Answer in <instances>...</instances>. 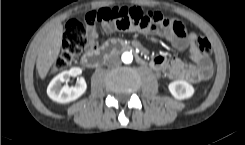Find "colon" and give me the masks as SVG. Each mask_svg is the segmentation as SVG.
<instances>
[{
	"mask_svg": "<svg viewBox=\"0 0 245 145\" xmlns=\"http://www.w3.org/2000/svg\"><path fill=\"white\" fill-rule=\"evenodd\" d=\"M94 17L98 21H114L120 30H139L151 31L160 24H168L169 20L165 19L160 13L146 11L140 7H116L105 8L95 12ZM173 28L177 34L183 31L181 23H174ZM96 36L90 34L87 36V26L84 22L70 20L65 24L64 39L60 55L53 63L52 71H59L68 66L83 50L85 46L94 48ZM194 45L203 55H209L211 45L208 39L201 35L194 39ZM209 70L205 69V75Z\"/></svg>",
	"mask_w": 245,
	"mask_h": 145,
	"instance_id": "obj_1",
	"label": "colon"
}]
</instances>
